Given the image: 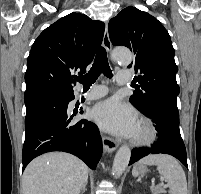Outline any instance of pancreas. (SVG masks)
Returning <instances> with one entry per match:
<instances>
[{"label": "pancreas", "mask_w": 201, "mask_h": 194, "mask_svg": "<svg viewBox=\"0 0 201 194\" xmlns=\"http://www.w3.org/2000/svg\"><path fill=\"white\" fill-rule=\"evenodd\" d=\"M151 191L153 194H160L164 192L163 188L160 186H152Z\"/></svg>", "instance_id": "obj_1"}]
</instances>
